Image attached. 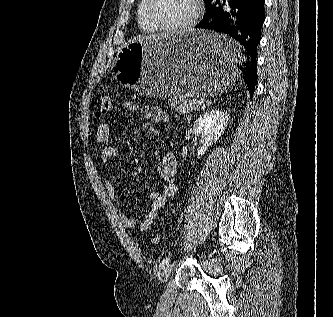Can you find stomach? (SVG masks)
<instances>
[{"label":"stomach","instance_id":"1","mask_svg":"<svg viewBox=\"0 0 333 317\" xmlns=\"http://www.w3.org/2000/svg\"><path fill=\"white\" fill-rule=\"evenodd\" d=\"M241 51L232 33L192 30L130 41L114 68L121 84L146 97L218 96L236 88Z\"/></svg>","mask_w":333,"mask_h":317}]
</instances>
